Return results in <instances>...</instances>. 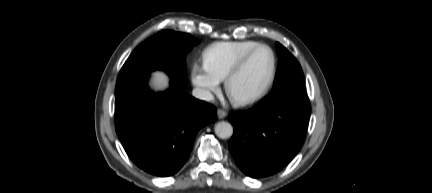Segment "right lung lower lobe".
<instances>
[{"mask_svg": "<svg viewBox=\"0 0 432 193\" xmlns=\"http://www.w3.org/2000/svg\"><path fill=\"white\" fill-rule=\"evenodd\" d=\"M149 74L118 82L115 129L130 159L144 171L170 176L186 162L199 129L216 120V108L170 87L154 93Z\"/></svg>", "mask_w": 432, "mask_h": 193, "instance_id": "1", "label": "right lung lower lobe"}]
</instances>
